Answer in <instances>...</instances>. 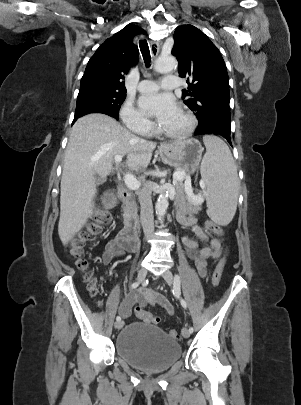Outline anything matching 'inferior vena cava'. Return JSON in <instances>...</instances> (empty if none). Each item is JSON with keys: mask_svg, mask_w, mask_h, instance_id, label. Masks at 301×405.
I'll use <instances>...</instances> for the list:
<instances>
[{"mask_svg": "<svg viewBox=\"0 0 301 405\" xmlns=\"http://www.w3.org/2000/svg\"><path fill=\"white\" fill-rule=\"evenodd\" d=\"M151 193L152 191L148 184H145L138 193L139 202L141 205V224L146 237H150L154 232V217Z\"/></svg>", "mask_w": 301, "mask_h": 405, "instance_id": "1", "label": "inferior vena cava"}]
</instances>
